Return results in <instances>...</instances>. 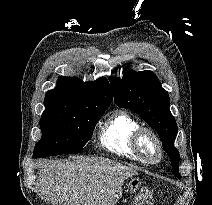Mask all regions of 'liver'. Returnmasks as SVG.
Masks as SVG:
<instances>
[{"label":"liver","instance_id":"1","mask_svg":"<svg viewBox=\"0 0 212 205\" xmlns=\"http://www.w3.org/2000/svg\"><path fill=\"white\" fill-rule=\"evenodd\" d=\"M135 174L108 159L77 157L41 164L39 182L53 205H114L124 179Z\"/></svg>","mask_w":212,"mask_h":205}]
</instances>
